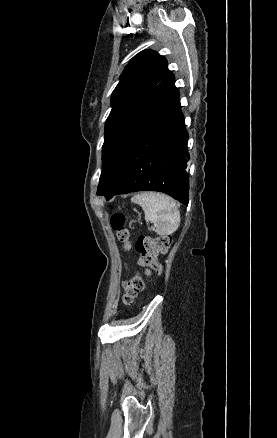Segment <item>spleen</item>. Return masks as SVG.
Instances as JSON below:
<instances>
[{"instance_id":"spleen-1","label":"spleen","mask_w":277,"mask_h":438,"mask_svg":"<svg viewBox=\"0 0 277 438\" xmlns=\"http://www.w3.org/2000/svg\"><path fill=\"white\" fill-rule=\"evenodd\" d=\"M131 202L143 208L146 222L154 224V228L150 230L158 236H169L179 228L180 212L169 196L157 192H142L131 198Z\"/></svg>"}]
</instances>
